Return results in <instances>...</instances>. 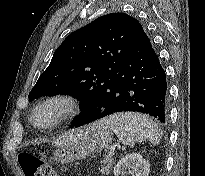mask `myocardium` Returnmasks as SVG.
Returning <instances> with one entry per match:
<instances>
[{
	"label": "myocardium",
	"mask_w": 205,
	"mask_h": 176,
	"mask_svg": "<svg viewBox=\"0 0 205 176\" xmlns=\"http://www.w3.org/2000/svg\"><path fill=\"white\" fill-rule=\"evenodd\" d=\"M42 110H52L53 117L46 124L36 122V115ZM79 112V103L75 97L67 93H56L41 100L30 115V122L36 127H55L73 118Z\"/></svg>",
	"instance_id": "1"
}]
</instances>
